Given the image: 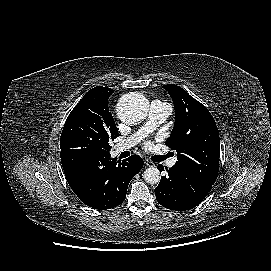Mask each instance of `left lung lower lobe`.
Instances as JSON below:
<instances>
[{
    "label": "left lung lower lobe",
    "mask_w": 271,
    "mask_h": 271,
    "mask_svg": "<svg viewBox=\"0 0 271 271\" xmlns=\"http://www.w3.org/2000/svg\"><path fill=\"white\" fill-rule=\"evenodd\" d=\"M163 169L161 166V170ZM167 173L166 176L161 177L155 189L157 201L167 209L189 210L200 204L212 188L211 184L200 180L176 164L167 169Z\"/></svg>",
    "instance_id": "obj_1"
}]
</instances>
